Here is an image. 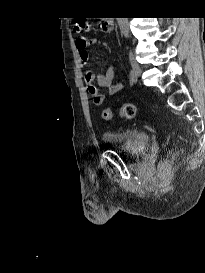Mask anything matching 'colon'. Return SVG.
Listing matches in <instances>:
<instances>
[{"label": "colon", "instance_id": "1", "mask_svg": "<svg viewBox=\"0 0 205 273\" xmlns=\"http://www.w3.org/2000/svg\"><path fill=\"white\" fill-rule=\"evenodd\" d=\"M92 24L85 19H75L74 30L78 34L86 33L91 30ZM103 118L105 120L112 119L114 112L111 108L103 110ZM119 115L125 119H133L136 115V106L133 103L122 104Z\"/></svg>", "mask_w": 205, "mask_h": 273}]
</instances>
